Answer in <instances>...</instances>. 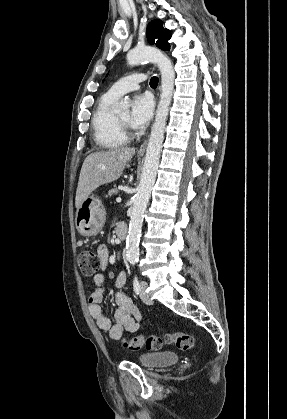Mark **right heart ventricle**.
Wrapping results in <instances>:
<instances>
[{"instance_id": "obj_1", "label": "right heart ventricle", "mask_w": 287, "mask_h": 419, "mask_svg": "<svg viewBox=\"0 0 287 419\" xmlns=\"http://www.w3.org/2000/svg\"><path fill=\"white\" fill-rule=\"evenodd\" d=\"M117 98L103 94L94 109L91 125L95 143L104 149L118 148L126 143V138L119 130L112 106Z\"/></svg>"}]
</instances>
